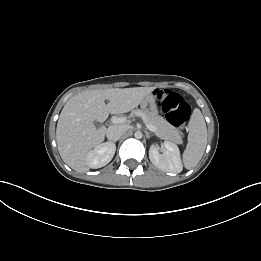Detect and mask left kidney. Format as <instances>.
<instances>
[{
  "mask_svg": "<svg viewBox=\"0 0 261 261\" xmlns=\"http://www.w3.org/2000/svg\"><path fill=\"white\" fill-rule=\"evenodd\" d=\"M160 147L152 144L149 149V159L154 166L164 172L180 173L183 169L180 151L174 143L165 141L162 154L159 153Z\"/></svg>",
  "mask_w": 261,
  "mask_h": 261,
  "instance_id": "5707ae66",
  "label": "left kidney"
}]
</instances>
